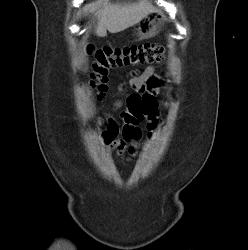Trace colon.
<instances>
[{
	"label": "colon",
	"instance_id": "colon-1",
	"mask_svg": "<svg viewBox=\"0 0 248 250\" xmlns=\"http://www.w3.org/2000/svg\"><path fill=\"white\" fill-rule=\"evenodd\" d=\"M92 85L97 97L107 91L108 72L122 66L153 64L164 59L165 48L159 44H136L119 48L102 47L94 51ZM155 81V78L149 82ZM128 108L141 121L156 110V100L151 93H133L127 99Z\"/></svg>",
	"mask_w": 248,
	"mask_h": 250
}]
</instances>
